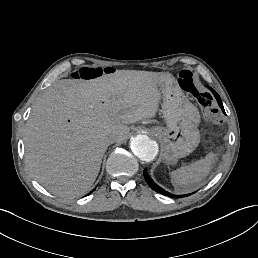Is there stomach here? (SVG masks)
<instances>
[{"label": "stomach", "mask_w": 258, "mask_h": 258, "mask_svg": "<svg viewBox=\"0 0 258 258\" xmlns=\"http://www.w3.org/2000/svg\"><path fill=\"white\" fill-rule=\"evenodd\" d=\"M155 85L162 93L161 113L166 126H154L151 132L161 144V157L167 164L176 163L200 143V113L172 74H160Z\"/></svg>", "instance_id": "1"}]
</instances>
